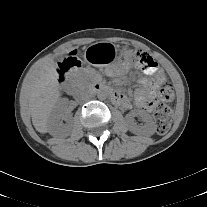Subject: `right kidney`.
Segmentation results:
<instances>
[{
    "label": "right kidney",
    "mask_w": 207,
    "mask_h": 207,
    "mask_svg": "<svg viewBox=\"0 0 207 207\" xmlns=\"http://www.w3.org/2000/svg\"><path fill=\"white\" fill-rule=\"evenodd\" d=\"M68 118L67 112V100L61 99L53 108L49 121H48V131L50 133L57 132L63 128L61 120Z\"/></svg>",
    "instance_id": "ca27d5eb"
}]
</instances>
